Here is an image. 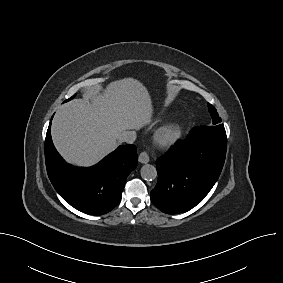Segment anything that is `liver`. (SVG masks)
<instances>
[{
  "label": "liver",
  "instance_id": "6515ba94",
  "mask_svg": "<svg viewBox=\"0 0 283 283\" xmlns=\"http://www.w3.org/2000/svg\"><path fill=\"white\" fill-rule=\"evenodd\" d=\"M153 106L145 86L133 78L110 83L103 95L61 106L52 122V139L63 158L91 166L114 150L119 136L152 120Z\"/></svg>",
  "mask_w": 283,
  "mask_h": 283
}]
</instances>
